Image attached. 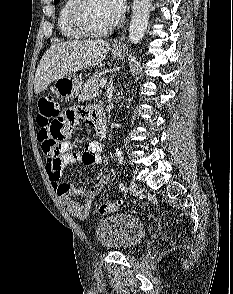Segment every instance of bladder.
Returning <instances> with one entry per match:
<instances>
[{"instance_id":"1","label":"bladder","mask_w":233,"mask_h":294,"mask_svg":"<svg viewBox=\"0 0 233 294\" xmlns=\"http://www.w3.org/2000/svg\"><path fill=\"white\" fill-rule=\"evenodd\" d=\"M145 225L127 213H117L101 220L95 233L99 244L114 251L136 249L146 237Z\"/></svg>"}]
</instances>
